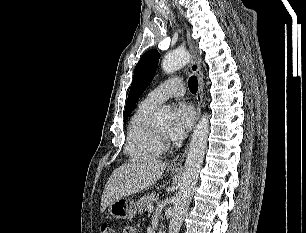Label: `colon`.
Listing matches in <instances>:
<instances>
[{"label":"colon","mask_w":306,"mask_h":233,"mask_svg":"<svg viewBox=\"0 0 306 233\" xmlns=\"http://www.w3.org/2000/svg\"><path fill=\"white\" fill-rule=\"evenodd\" d=\"M100 233H115L113 225L109 223H104L100 227Z\"/></svg>","instance_id":"colon-1"}]
</instances>
